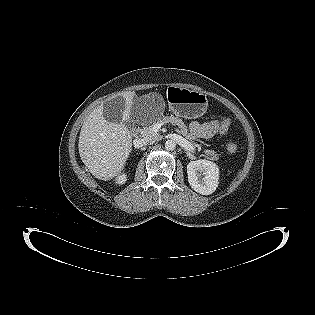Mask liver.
I'll return each mask as SVG.
<instances>
[{
	"instance_id": "6515ba94",
	"label": "liver",
	"mask_w": 315,
	"mask_h": 315,
	"mask_svg": "<svg viewBox=\"0 0 315 315\" xmlns=\"http://www.w3.org/2000/svg\"><path fill=\"white\" fill-rule=\"evenodd\" d=\"M124 99L125 119L133 106V92L120 95ZM79 154L89 172L108 181L124 169L132 151V135L123 123L109 122L103 117V104L97 106L84 121L79 136Z\"/></svg>"
}]
</instances>
